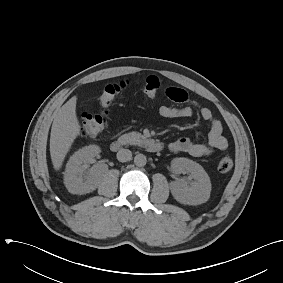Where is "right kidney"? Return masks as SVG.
Masks as SVG:
<instances>
[{
  "label": "right kidney",
  "mask_w": 283,
  "mask_h": 283,
  "mask_svg": "<svg viewBox=\"0 0 283 283\" xmlns=\"http://www.w3.org/2000/svg\"><path fill=\"white\" fill-rule=\"evenodd\" d=\"M100 152L97 145H89L70 157L64 173V184L70 193L82 195L97 188L107 167L94 165L88 172L86 170Z\"/></svg>",
  "instance_id": "right-kidney-1"
}]
</instances>
